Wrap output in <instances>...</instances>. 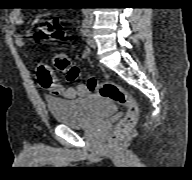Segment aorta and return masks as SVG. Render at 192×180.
Listing matches in <instances>:
<instances>
[{"label":"aorta","mask_w":192,"mask_h":180,"mask_svg":"<svg viewBox=\"0 0 192 180\" xmlns=\"http://www.w3.org/2000/svg\"><path fill=\"white\" fill-rule=\"evenodd\" d=\"M85 13L89 16L91 14V9L90 8H86L85 9Z\"/></svg>","instance_id":"762f6f07"}]
</instances>
